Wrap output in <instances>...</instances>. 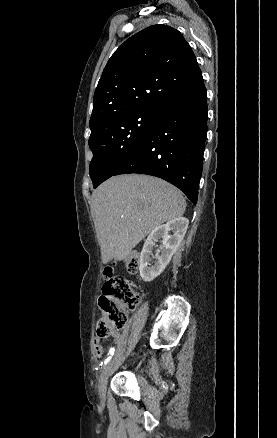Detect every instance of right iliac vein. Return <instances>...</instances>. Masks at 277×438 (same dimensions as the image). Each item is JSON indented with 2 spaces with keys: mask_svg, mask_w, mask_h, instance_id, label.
<instances>
[{
  "mask_svg": "<svg viewBox=\"0 0 277 438\" xmlns=\"http://www.w3.org/2000/svg\"><path fill=\"white\" fill-rule=\"evenodd\" d=\"M115 358H113L102 370L99 378V393L101 397H104L106 394L107 380L110 375V371L113 367Z\"/></svg>",
  "mask_w": 277,
  "mask_h": 438,
  "instance_id": "1",
  "label": "right iliac vein"
}]
</instances>
